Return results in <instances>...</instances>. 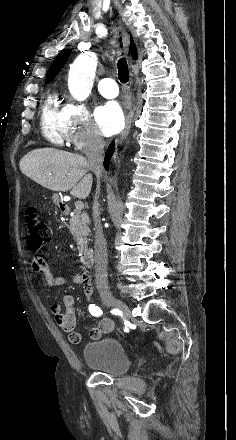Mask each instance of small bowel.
<instances>
[{
    "label": "small bowel",
    "mask_w": 236,
    "mask_h": 440,
    "mask_svg": "<svg viewBox=\"0 0 236 440\" xmlns=\"http://www.w3.org/2000/svg\"><path fill=\"white\" fill-rule=\"evenodd\" d=\"M31 269L35 274H40L44 277L48 288L60 286L66 282L65 276L54 275L52 269L41 251L36 250L32 256ZM76 284L83 287L86 300L90 301L93 294V286L89 273L79 268L73 278ZM64 307V311L62 310ZM62 306L60 304H52L50 306L51 314L53 315L56 324L60 329L67 334L68 339L73 344H78L81 340L80 334L76 331V314H75V298L71 294H66L62 299ZM114 328V322L111 319H103L94 327H90L89 334L91 338L98 339L102 333H111Z\"/></svg>",
    "instance_id": "obj_1"
}]
</instances>
